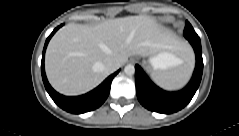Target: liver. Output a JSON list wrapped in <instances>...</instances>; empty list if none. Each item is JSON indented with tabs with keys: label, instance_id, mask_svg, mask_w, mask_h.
Here are the masks:
<instances>
[{
	"label": "liver",
	"instance_id": "liver-1",
	"mask_svg": "<svg viewBox=\"0 0 239 136\" xmlns=\"http://www.w3.org/2000/svg\"><path fill=\"white\" fill-rule=\"evenodd\" d=\"M186 50L173 33L148 15L107 20L95 26L68 24L50 40L45 70L52 87L64 95H80L98 86L111 72L108 60L120 66L128 57L160 50Z\"/></svg>",
	"mask_w": 239,
	"mask_h": 136
}]
</instances>
